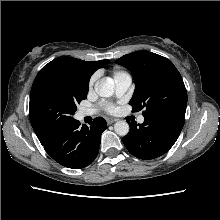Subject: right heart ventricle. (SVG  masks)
<instances>
[{
    "label": "right heart ventricle",
    "mask_w": 220,
    "mask_h": 220,
    "mask_svg": "<svg viewBox=\"0 0 220 220\" xmlns=\"http://www.w3.org/2000/svg\"><path fill=\"white\" fill-rule=\"evenodd\" d=\"M119 73H122V72H116V73L114 74V76H116V75L119 74Z\"/></svg>",
    "instance_id": "e07e8e85"
}]
</instances>
